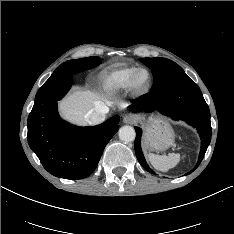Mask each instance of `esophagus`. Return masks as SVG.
I'll return each instance as SVG.
<instances>
[{"label": "esophagus", "instance_id": "34e87169", "mask_svg": "<svg viewBox=\"0 0 234 234\" xmlns=\"http://www.w3.org/2000/svg\"><path fill=\"white\" fill-rule=\"evenodd\" d=\"M137 121V118L135 116L132 115H125L123 116V122L125 124H133Z\"/></svg>", "mask_w": 234, "mask_h": 234}]
</instances>
